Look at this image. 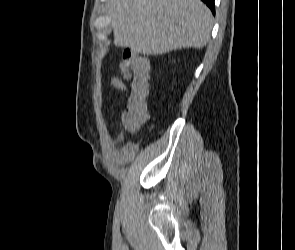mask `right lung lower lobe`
I'll return each instance as SVG.
<instances>
[{"label":"right lung lower lobe","instance_id":"98d812e1","mask_svg":"<svg viewBox=\"0 0 295 250\" xmlns=\"http://www.w3.org/2000/svg\"><path fill=\"white\" fill-rule=\"evenodd\" d=\"M211 9L212 13L215 14L214 0H202Z\"/></svg>","mask_w":295,"mask_h":250}]
</instances>
